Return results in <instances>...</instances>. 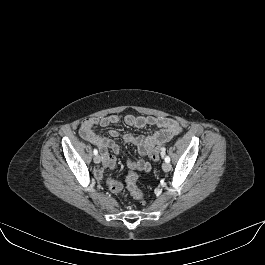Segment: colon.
<instances>
[{"label":"colon","mask_w":265,"mask_h":265,"mask_svg":"<svg viewBox=\"0 0 265 265\" xmlns=\"http://www.w3.org/2000/svg\"><path fill=\"white\" fill-rule=\"evenodd\" d=\"M165 151L166 149L163 145L157 146L151 151L149 157L153 161H158L164 155ZM137 180H138V174L136 173V171L134 170L129 171L126 176V187L134 198L142 200L143 193L137 186ZM107 185L109 190L116 194L122 192L123 190L122 183L114 178H109L107 180Z\"/></svg>","instance_id":"5ec220e1"}]
</instances>
